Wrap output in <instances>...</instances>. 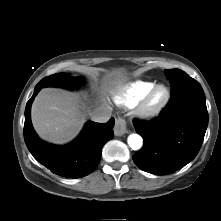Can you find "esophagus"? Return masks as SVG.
<instances>
[{"instance_id": "obj_1", "label": "esophagus", "mask_w": 221, "mask_h": 221, "mask_svg": "<svg viewBox=\"0 0 221 221\" xmlns=\"http://www.w3.org/2000/svg\"><path fill=\"white\" fill-rule=\"evenodd\" d=\"M127 132L126 122L123 118L118 117L115 121L114 133L116 136H122Z\"/></svg>"}]
</instances>
